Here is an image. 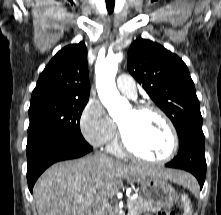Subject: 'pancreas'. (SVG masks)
I'll list each match as a JSON object with an SVG mask.
<instances>
[{"instance_id": "1", "label": "pancreas", "mask_w": 221, "mask_h": 215, "mask_svg": "<svg viewBox=\"0 0 221 215\" xmlns=\"http://www.w3.org/2000/svg\"><path fill=\"white\" fill-rule=\"evenodd\" d=\"M129 215H140L146 211H158L157 207H154L148 200L142 197L131 199L127 202Z\"/></svg>"}]
</instances>
